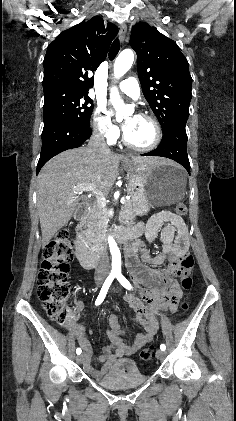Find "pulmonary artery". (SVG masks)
I'll return each mask as SVG.
<instances>
[{"label": "pulmonary artery", "mask_w": 236, "mask_h": 421, "mask_svg": "<svg viewBox=\"0 0 236 421\" xmlns=\"http://www.w3.org/2000/svg\"><path fill=\"white\" fill-rule=\"evenodd\" d=\"M120 90L130 97L138 98L140 95V88L135 78H128L118 84Z\"/></svg>", "instance_id": "e3ab8cb5"}]
</instances>
